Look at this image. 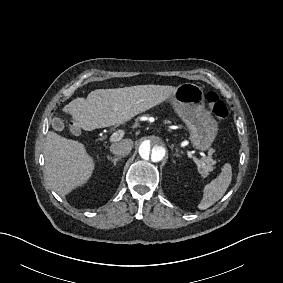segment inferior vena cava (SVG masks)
<instances>
[{
  "label": "inferior vena cava",
  "mask_w": 283,
  "mask_h": 283,
  "mask_svg": "<svg viewBox=\"0 0 283 283\" xmlns=\"http://www.w3.org/2000/svg\"><path fill=\"white\" fill-rule=\"evenodd\" d=\"M133 142L130 139H124L119 143L111 145L110 150L118 156L128 155L132 149Z\"/></svg>",
  "instance_id": "602c4592"
}]
</instances>
